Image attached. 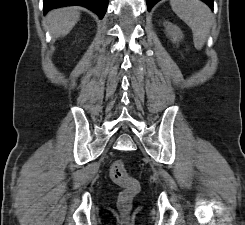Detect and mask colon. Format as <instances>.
Returning <instances> with one entry per match:
<instances>
[{"label": "colon", "mask_w": 245, "mask_h": 225, "mask_svg": "<svg viewBox=\"0 0 245 225\" xmlns=\"http://www.w3.org/2000/svg\"><path fill=\"white\" fill-rule=\"evenodd\" d=\"M109 174L112 181L122 187L117 200L118 208L121 212L128 213L135 195L140 190V183L128 173L125 163L120 159L111 163Z\"/></svg>", "instance_id": "1"}]
</instances>
